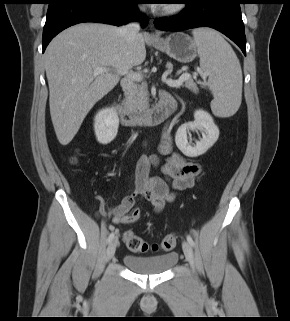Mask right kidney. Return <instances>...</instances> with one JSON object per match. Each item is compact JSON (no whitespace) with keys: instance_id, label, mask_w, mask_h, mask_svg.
<instances>
[{"instance_id":"obj_1","label":"right kidney","mask_w":290,"mask_h":321,"mask_svg":"<svg viewBox=\"0 0 290 321\" xmlns=\"http://www.w3.org/2000/svg\"><path fill=\"white\" fill-rule=\"evenodd\" d=\"M119 127V118L113 108H104L94 117V132L101 144H108L114 140Z\"/></svg>"}]
</instances>
